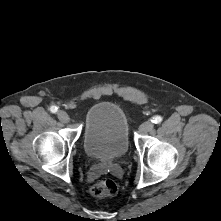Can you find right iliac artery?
I'll use <instances>...</instances> for the list:
<instances>
[{
	"label": "right iliac artery",
	"mask_w": 221,
	"mask_h": 221,
	"mask_svg": "<svg viewBox=\"0 0 221 221\" xmlns=\"http://www.w3.org/2000/svg\"><path fill=\"white\" fill-rule=\"evenodd\" d=\"M50 111H51L52 113H56V112L58 111V107H56V106H51V107H50Z\"/></svg>",
	"instance_id": "82829eb1"
}]
</instances>
